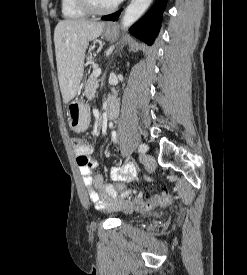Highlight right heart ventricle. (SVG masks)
Masks as SVG:
<instances>
[{"instance_id":"e07e8e85","label":"right heart ventricle","mask_w":247,"mask_h":275,"mask_svg":"<svg viewBox=\"0 0 247 275\" xmlns=\"http://www.w3.org/2000/svg\"><path fill=\"white\" fill-rule=\"evenodd\" d=\"M61 12L65 18L81 19L86 17L87 13L81 10L74 0H61Z\"/></svg>"}]
</instances>
